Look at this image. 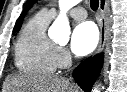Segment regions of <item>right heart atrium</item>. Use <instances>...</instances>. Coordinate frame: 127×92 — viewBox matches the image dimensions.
<instances>
[{
	"label": "right heart atrium",
	"mask_w": 127,
	"mask_h": 92,
	"mask_svg": "<svg viewBox=\"0 0 127 92\" xmlns=\"http://www.w3.org/2000/svg\"><path fill=\"white\" fill-rule=\"evenodd\" d=\"M72 60L70 52L65 47L57 48V63L58 67H67Z\"/></svg>",
	"instance_id": "obj_1"
}]
</instances>
